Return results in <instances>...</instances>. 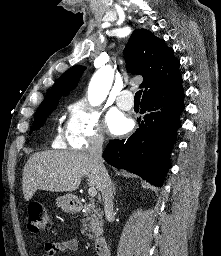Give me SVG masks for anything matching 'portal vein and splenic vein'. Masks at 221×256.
<instances>
[{
    "mask_svg": "<svg viewBox=\"0 0 221 256\" xmlns=\"http://www.w3.org/2000/svg\"><path fill=\"white\" fill-rule=\"evenodd\" d=\"M88 194H89L91 197H95V196L97 195V190H96V188L90 187V188L88 189Z\"/></svg>",
    "mask_w": 221,
    "mask_h": 256,
    "instance_id": "1",
    "label": "portal vein and splenic vein"
}]
</instances>
